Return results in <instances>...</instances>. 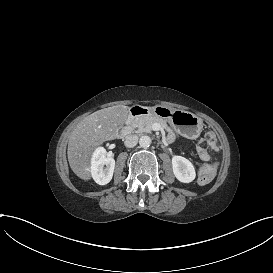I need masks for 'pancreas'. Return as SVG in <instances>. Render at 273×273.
I'll list each match as a JSON object with an SVG mask.
<instances>
[{"label":"pancreas","instance_id":"pancreas-1","mask_svg":"<svg viewBox=\"0 0 273 273\" xmlns=\"http://www.w3.org/2000/svg\"><path fill=\"white\" fill-rule=\"evenodd\" d=\"M154 123H158L162 130H164L169 138L174 136L173 129L168 125L167 121L157 116H141L133 121V127L136 133H151Z\"/></svg>","mask_w":273,"mask_h":273}]
</instances>
